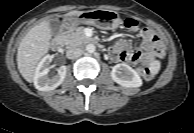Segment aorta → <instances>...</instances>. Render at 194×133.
Listing matches in <instances>:
<instances>
[{"mask_svg":"<svg viewBox=\"0 0 194 133\" xmlns=\"http://www.w3.org/2000/svg\"><path fill=\"white\" fill-rule=\"evenodd\" d=\"M95 49H96V47H95L93 44H88V45L86 46V51H87L88 53H94V52H95Z\"/></svg>","mask_w":194,"mask_h":133,"instance_id":"1","label":"aorta"}]
</instances>
